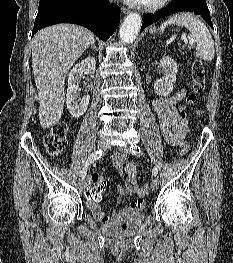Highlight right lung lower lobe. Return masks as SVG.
<instances>
[{"label": "right lung lower lobe", "instance_id": "right-lung-lower-lobe-1", "mask_svg": "<svg viewBox=\"0 0 233 263\" xmlns=\"http://www.w3.org/2000/svg\"><path fill=\"white\" fill-rule=\"evenodd\" d=\"M120 8L108 0H77L73 5H56L38 12L32 35L43 27L57 23H75L91 30L105 41L120 22Z\"/></svg>", "mask_w": 233, "mask_h": 263}]
</instances>
